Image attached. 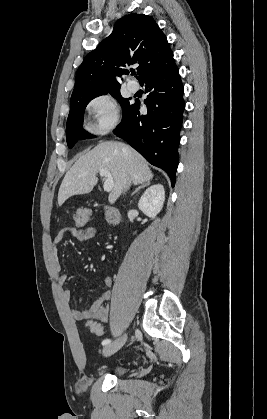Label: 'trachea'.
<instances>
[{
	"mask_svg": "<svg viewBox=\"0 0 267 419\" xmlns=\"http://www.w3.org/2000/svg\"><path fill=\"white\" fill-rule=\"evenodd\" d=\"M136 73L135 72H132V75H135Z\"/></svg>",
	"mask_w": 267,
	"mask_h": 419,
	"instance_id": "trachea-1",
	"label": "trachea"
}]
</instances>
